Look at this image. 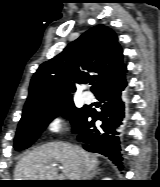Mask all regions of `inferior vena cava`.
Returning <instances> with one entry per match:
<instances>
[{
	"instance_id": "1",
	"label": "inferior vena cava",
	"mask_w": 160,
	"mask_h": 187,
	"mask_svg": "<svg viewBox=\"0 0 160 187\" xmlns=\"http://www.w3.org/2000/svg\"><path fill=\"white\" fill-rule=\"evenodd\" d=\"M88 177H89V175H88L87 173H85V174L83 175V177L81 178V180H87Z\"/></svg>"
}]
</instances>
